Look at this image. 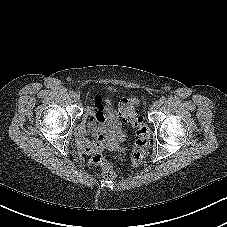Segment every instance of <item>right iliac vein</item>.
Segmentation results:
<instances>
[{"label":"right iliac vein","mask_w":227,"mask_h":227,"mask_svg":"<svg viewBox=\"0 0 227 227\" xmlns=\"http://www.w3.org/2000/svg\"><path fill=\"white\" fill-rule=\"evenodd\" d=\"M73 99H74L75 102H79V101H80V95L76 93V94L73 96Z\"/></svg>","instance_id":"63e3f726"}]
</instances>
